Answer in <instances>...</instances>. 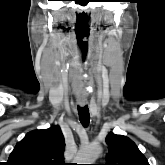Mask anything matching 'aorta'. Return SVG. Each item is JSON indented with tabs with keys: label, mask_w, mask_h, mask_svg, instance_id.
I'll use <instances>...</instances> for the list:
<instances>
[{
	"label": "aorta",
	"mask_w": 165,
	"mask_h": 165,
	"mask_svg": "<svg viewBox=\"0 0 165 165\" xmlns=\"http://www.w3.org/2000/svg\"><path fill=\"white\" fill-rule=\"evenodd\" d=\"M101 153V147L99 145H89L81 148L74 161L77 164H94Z\"/></svg>",
	"instance_id": "obj_1"
}]
</instances>
